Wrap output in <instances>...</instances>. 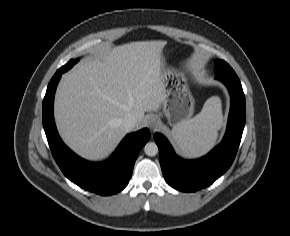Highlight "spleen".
I'll list each match as a JSON object with an SVG mask.
<instances>
[{
    "label": "spleen",
    "mask_w": 290,
    "mask_h": 236,
    "mask_svg": "<svg viewBox=\"0 0 290 236\" xmlns=\"http://www.w3.org/2000/svg\"><path fill=\"white\" fill-rule=\"evenodd\" d=\"M222 125L221 101L214 96L204 103L199 114L174 126L172 135L183 155L197 157L214 146Z\"/></svg>",
    "instance_id": "1"
}]
</instances>
